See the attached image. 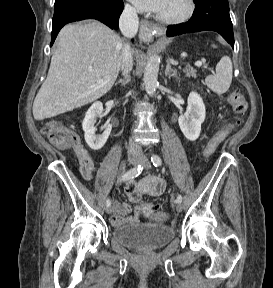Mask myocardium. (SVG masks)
<instances>
[{
  "instance_id": "f54148a6",
  "label": "myocardium",
  "mask_w": 273,
  "mask_h": 288,
  "mask_svg": "<svg viewBox=\"0 0 273 288\" xmlns=\"http://www.w3.org/2000/svg\"><path fill=\"white\" fill-rule=\"evenodd\" d=\"M186 4H187V8L183 14L179 16H175V17H166L163 15L157 14L156 16L157 20L165 24H180L189 20L195 12V8H196L195 0H186Z\"/></svg>"
}]
</instances>
